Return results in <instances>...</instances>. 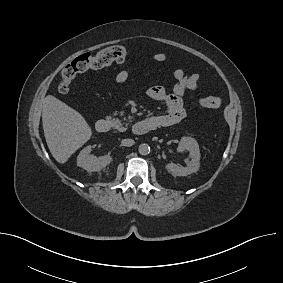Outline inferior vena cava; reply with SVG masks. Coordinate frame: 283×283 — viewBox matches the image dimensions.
<instances>
[{"instance_id":"inferior-vena-cava-1","label":"inferior vena cava","mask_w":283,"mask_h":283,"mask_svg":"<svg viewBox=\"0 0 283 283\" xmlns=\"http://www.w3.org/2000/svg\"><path fill=\"white\" fill-rule=\"evenodd\" d=\"M134 140L133 139H123L122 141H121V145L122 146H127V147H130V146H132V145H134Z\"/></svg>"}]
</instances>
